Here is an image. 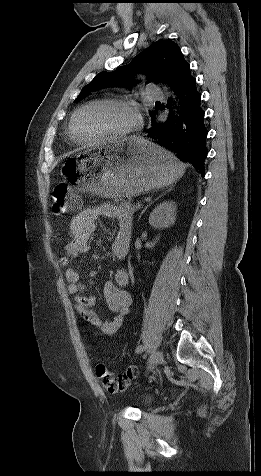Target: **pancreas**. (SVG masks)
I'll return each mask as SVG.
<instances>
[{
    "label": "pancreas",
    "instance_id": "obj_1",
    "mask_svg": "<svg viewBox=\"0 0 261 476\" xmlns=\"http://www.w3.org/2000/svg\"><path fill=\"white\" fill-rule=\"evenodd\" d=\"M120 207L124 212L131 215L138 210V207L132 204L130 200H120Z\"/></svg>",
    "mask_w": 261,
    "mask_h": 476
}]
</instances>
